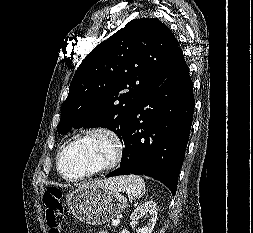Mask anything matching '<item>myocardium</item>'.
<instances>
[{
	"label": "myocardium",
	"mask_w": 253,
	"mask_h": 233,
	"mask_svg": "<svg viewBox=\"0 0 253 233\" xmlns=\"http://www.w3.org/2000/svg\"><path fill=\"white\" fill-rule=\"evenodd\" d=\"M92 136H102L110 141L112 148H113V154H112L110 160L107 163H105V164L85 173V174H82L80 176L70 177V176L66 175L62 171V168H61V162H62V157H63L64 153L69 148V146H71L73 143L83 140V139H86V138H89V137H92ZM123 155H124V144H123V141H122L120 135L111 128L104 127V126H94V127H90L88 129L81 131L80 133L72 136L70 139H68L65 142V144L62 146L61 150L58 152L56 165H57V170L63 179H65L66 181H69V182H78V181L84 180L86 178L95 176L97 174L107 172L109 170L114 169L121 162Z\"/></svg>",
	"instance_id": "f54148a6"
}]
</instances>
